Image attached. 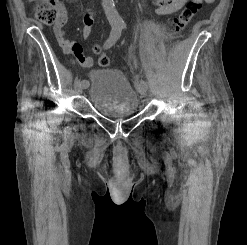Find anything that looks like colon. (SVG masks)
<instances>
[{
  "label": "colon",
  "instance_id": "1",
  "mask_svg": "<svg viewBox=\"0 0 247 245\" xmlns=\"http://www.w3.org/2000/svg\"><path fill=\"white\" fill-rule=\"evenodd\" d=\"M28 2L34 4L35 17L43 24L52 25L59 20L58 0H28ZM200 8V0H189L182 11L173 19L170 34L182 31ZM98 63L101 67H107L110 64V59L106 55H101Z\"/></svg>",
  "mask_w": 247,
  "mask_h": 245
}]
</instances>
